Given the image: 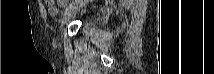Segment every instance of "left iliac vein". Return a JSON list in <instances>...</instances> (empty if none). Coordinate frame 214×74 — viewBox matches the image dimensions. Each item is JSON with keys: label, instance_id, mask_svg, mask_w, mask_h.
<instances>
[{"label": "left iliac vein", "instance_id": "4c4485c4", "mask_svg": "<svg viewBox=\"0 0 214 74\" xmlns=\"http://www.w3.org/2000/svg\"><path fill=\"white\" fill-rule=\"evenodd\" d=\"M86 1H78L77 4L73 5L69 8L63 15L61 19V26L63 25L73 16L75 15L84 5Z\"/></svg>", "mask_w": 214, "mask_h": 74}]
</instances>
